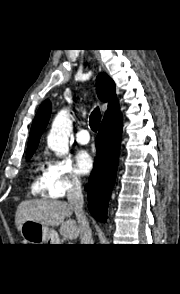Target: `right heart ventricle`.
Listing matches in <instances>:
<instances>
[{
  "label": "right heart ventricle",
  "mask_w": 180,
  "mask_h": 294,
  "mask_svg": "<svg viewBox=\"0 0 180 294\" xmlns=\"http://www.w3.org/2000/svg\"><path fill=\"white\" fill-rule=\"evenodd\" d=\"M30 192L34 196H41L45 194L44 168L43 164L37 160L32 174V182L30 185Z\"/></svg>",
  "instance_id": "right-heart-ventricle-1"
}]
</instances>
